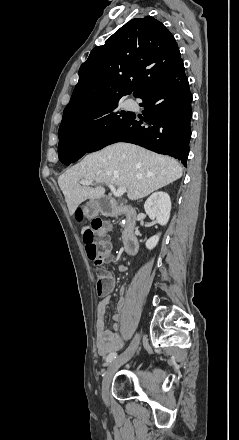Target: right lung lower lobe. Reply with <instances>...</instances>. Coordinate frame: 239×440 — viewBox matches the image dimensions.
Returning a JSON list of instances; mask_svg holds the SVG:
<instances>
[{
	"mask_svg": "<svg viewBox=\"0 0 239 440\" xmlns=\"http://www.w3.org/2000/svg\"><path fill=\"white\" fill-rule=\"evenodd\" d=\"M137 98L143 100L144 117L133 113L126 122L99 136L88 146L59 149V160L69 165L85 153L124 141L173 156L186 166L191 137L192 94L182 59L171 72L155 81Z\"/></svg>",
	"mask_w": 239,
	"mask_h": 440,
	"instance_id": "1",
	"label": "right lung lower lobe"
}]
</instances>
